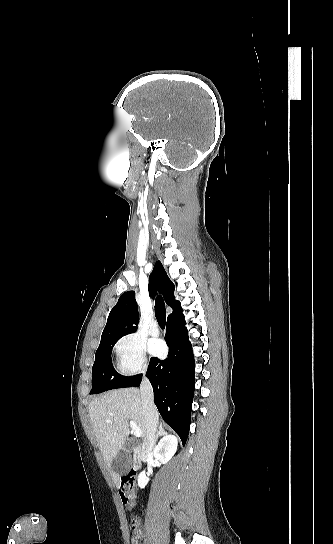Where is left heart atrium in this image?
Segmentation results:
<instances>
[{
  "label": "left heart atrium",
  "mask_w": 333,
  "mask_h": 544,
  "mask_svg": "<svg viewBox=\"0 0 333 544\" xmlns=\"http://www.w3.org/2000/svg\"><path fill=\"white\" fill-rule=\"evenodd\" d=\"M149 350L152 355L160 356L165 352V345L159 339H153L149 342Z\"/></svg>",
  "instance_id": "39dd6f15"
}]
</instances>
